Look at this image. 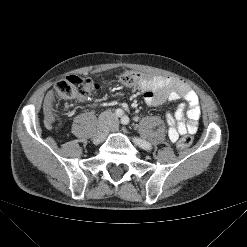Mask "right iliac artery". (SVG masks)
Returning a JSON list of instances; mask_svg holds the SVG:
<instances>
[{"label": "right iliac artery", "instance_id": "82829eb1", "mask_svg": "<svg viewBox=\"0 0 247 247\" xmlns=\"http://www.w3.org/2000/svg\"><path fill=\"white\" fill-rule=\"evenodd\" d=\"M115 115H116L117 117H121V116L123 115L122 109H117V110L115 111Z\"/></svg>", "mask_w": 247, "mask_h": 247}]
</instances>
